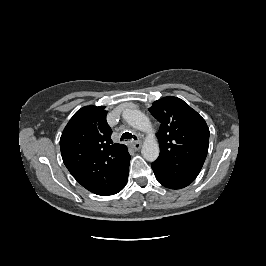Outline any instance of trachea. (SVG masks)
I'll use <instances>...</instances> for the list:
<instances>
[{
    "instance_id": "obj_1",
    "label": "trachea",
    "mask_w": 266,
    "mask_h": 266,
    "mask_svg": "<svg viewBox=\"0 0 266 266\" xmlns=\"http://www.w3.org/2000/svg\"><path fill=\"white\" fill-rule=\"evenodd\" d=\"M126 139H134V140H136L137 137L134 136V135H132V134L129 133V132H125V133H123L122 136H121V141H122V140H126Z\"/></svg>"
}]
</instances>
